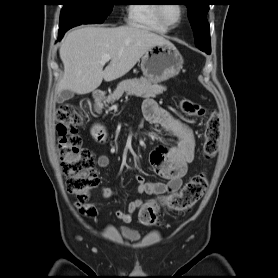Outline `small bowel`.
<instances>
[{
    "instance_id": "small-bowel-1",
    "label": "small bowel",
    "mask_w": 278,
    "mask_h": 278,
    "mask_svg": "<svg viewBox=\"0 0 278 278\" xmlns=\"http://www.w3.org/2000/svg\"><path fill=\"white\" fill-rule=\"evenodd\" d=\"M142 114L147 122L164 127L175 141L170 147L158 145L150 153V164L154 172L166 181H148L142 175H137L138 193L156 196L178 192L182 186L183 177L187 173L188 165L194 159V133L186 123L174 117L152 99L144 101ZM97 164L100 168H107L110 165V159L106 155H101L97 159ZM101 195L103 198H109L115 195V191L110 187H103ZM143 204L142 199H136L128 204L126 210L117 211L116 216L122 222L130 223L133 213ZM76 207L82 214L91 218L98 214L96 203H77Z\"/></svg>"
}]
</instances>
